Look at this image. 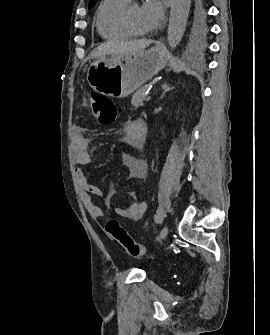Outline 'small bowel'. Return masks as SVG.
I'll list each match as a JSON object with an SVG mask.
<instances>
[{
    "label": "small bowel",
    "instance_id": "1",
    "mask_svg": "<svg viewBox=\"0 0 270 335\" xmlns=\"http://www.w3.org/2000/svg\"><path fill=\"white\" fill-rule=\"evenodd\" d=\"M145 136L146 126L144 121L135 119L128 121L125 124L124 138L131 149H140L145 143ZM72 139L75 163L82 166L89 165L91 163V156L89 153L90 140L86 136L82 126L76 125L73 127ZM123 162L127 166L132 178H147L148 163L146 160L137 157L133 153H128L123 156ZM75 175L78 184L83 191V202L86 209L93 219L100 220L103 217V210L94 202L92 196L103 197L101 189L87 178L85 172L81 168L76 169ZM113 194L114 190L111 188L107 195L104 196V203L107 207L111 206ZM146 210L147 204L145 202L135 201L126 208L117 207L116 213L121 218L138 221L144 216Z\"/></svg>",
    "mask_w": 270,
    "mask_h": 335
}]
</instances>
